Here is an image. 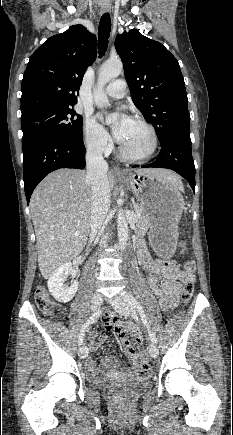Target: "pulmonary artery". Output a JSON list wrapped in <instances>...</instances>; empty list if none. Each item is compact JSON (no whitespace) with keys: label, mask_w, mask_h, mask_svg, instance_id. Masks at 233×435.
<instances>
[{"label":"pulmonary artery","mask_w":233,"mask_h":435,"mask_svg":"<svg viewBox=\"0 0 233 435\" xmlns=\"http://www.w3.org/2000/svg\"><path fill=\"white\" fill-rule=\"evenodd\" d=\"M126 90V83L122 79H117L112 81L107 88L105 89V93L109 98L112 99H120L124 96Z\"/></svg>","instance_id":"e3ab8cb5"}]
</instances>
